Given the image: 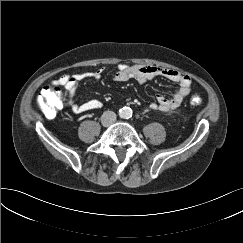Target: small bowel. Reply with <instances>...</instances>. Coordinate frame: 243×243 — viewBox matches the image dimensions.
Returning a JSON list of instances; mask_svg holds the SVG:
<instances>
[{"label": "small bowel", "instance_id": "1", "mask_svg": "<svg viewBox=\"0 0 243 243\" xmlns=\"http://www.w3.org/2000/svg\"><path fill=\"white\" fill-rule=\"evenodd\" d=\"M101 75L102 70L82 72L73 75L64 74L53 81V86H62L65 88L68 94L69 106L74 113L80 114L100 109L103 106V103L98 99H91L81 104L77 103L75 100L76 88L80 81L87 78L99 80ZM156 77H163L173 81L177 83L179 87L171 97L158 94L155 101L150 104V108L153 110L169 111L176 109L191 92L192 82L187 74L174 69L162 68L154 65H129L120 63L117 65L114 80L117 82H125L130 79H135L139 83H145Z\"/></svg>", "mask_w": 243, "mask_h": 243}]
</instances>
